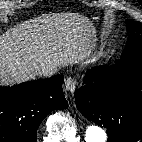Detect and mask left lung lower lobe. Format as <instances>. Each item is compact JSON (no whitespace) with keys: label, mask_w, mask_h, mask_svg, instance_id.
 <instances>
[{"label":"left lung lower lobe","mask_w":142,"mask_h":142,"mask_svg":"<svg viewBox=\"0 0 142 142\" xmlns=\"http://www.w3.org/2000/svg\"><path fill=\"white\" fill-rule=\"evenodd\" d=\"M83 84L75 91L77 109L107 129V142L141 139L142 63L95 67Z\"/></svg>","instance_id":"obj_1"}]
</instances>
